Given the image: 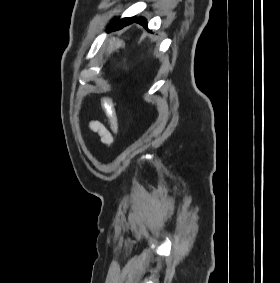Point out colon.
Returning <instances> with one entry per match:
<instances>
[{"instance_id": "obj_1", "label": "colon", "mask_w": 280, "mask_h": 283, "mask_svg": "<svg viewBox=\"0 0 280 283\" xmlns=\"http://www.w3.org/2000/svg\"><path fill=\"white\" fill-rule=\"evenodd\" d=\"M124 36L125 37H134L135 36V33L134 32H125L124 33ZM116 41L117 42H120L121 41V38L120 37H117L116 38ZM108 46L109 47H116L117 46V43L116 42H109L108 43ZM117 50L118 51H123L124 50V47L123 46H118L117 47ZM104 54L105 55H108L109 54V51L108 50H105L104 51ZM102 106H103V109L105 111V114L107 116V119L109 121V123L111 125H113L115 131L117 132L118 130V126H117V116H116V111H115V107H114V104L113 102L111 101L110 98L108 97H104L102 99Z\"/></svg>"}]
</instances>
